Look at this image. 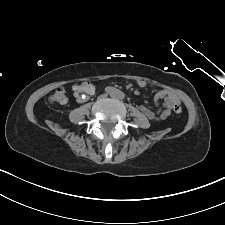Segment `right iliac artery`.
<instances>
[{
    "label": "right iliac artery",
    "mask_w": 225,
    "mask_h": 225,
    "mask_svg": "<svg viewBox=\"0 0 225 225\" xmlns=\"http://www.w3.org/2000/svg\"><path fill=\"white\" fill-rule=\"evenodd\" d=\"M105 91L110 94L113 92V89L111 87H106Z\"/></svg>",
    "instance_id": "82829eb1"
}]
</instances>
